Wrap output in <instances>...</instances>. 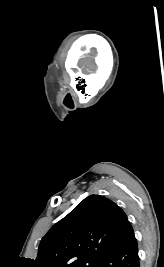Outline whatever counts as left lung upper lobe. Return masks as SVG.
<instances>
[{"mask_svg":"<svg viewBox=\"0 0 164 267\" xmlns=\"http://www.w3.org/2000/svg\"><path fill=\"white\" fill-rule=\"evenodd\" d=\"M127 223L114 202L91 195L42 238L34 267H98Z\"/></svg>","mask_w":164,"mask_h":267,"instance_id":"left-lung-upper-lobe-1","label":"left lung upper lobe"}]
</instances>
